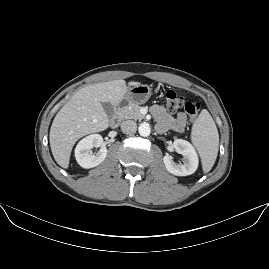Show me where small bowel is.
<instances>
[{"label": "small bowel", "instance_id": "c3829d8e", "mask_svg": "<svg viewBox=\"0 0 269 269\" xmlns=\"http://www.w3.org/2000/svg\"><path fill=\"white\" fill-rule=\"evenodd\" d=\"M151 113L157 120L156 130L164 132L167 129H172L177 132H183L186 127L187 117L183 112L178 113L175 117H171L166 110L160 105H154L151 108Z\"/></svg>", "mask_w": 269, "mask_h": 269}]
</instances>
